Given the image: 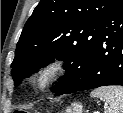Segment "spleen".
<instances>
[{
    "label": "spleen",
    "mask_w": 123,
    "mask_h": 113,
    "mask_svg": "<svg viewBox=\"0 0 123 113\" xmlns=\"http://www.w3.org/2000/svg\"><path fill=\"white\" fill-rule=\"evenodd\" d=\"M92 97L99 98L109 104L108 113H123V87L106 86L91 92Z\"/></svg>",
    "instance_id": "spleen-1"
}]
</instances>
